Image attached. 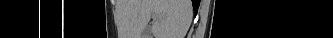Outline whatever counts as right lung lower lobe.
Masks as SVG:
<instances>
[{"label": "right lung lower lobe", "mask_w": 333, "mask_h": 38, "mask_svg": "<svg viewBox=\"0 0 333 38\" xmlns=\"http://www.w3.org/2000/svg\"><path fill=\"white\" fill-rule=\"evenodd\" d=\"M192 2H193V7H194V10H196V4H198V3H199V1L192 0Z\"/></svg>", "instance_id": "1"}]
</instances>
